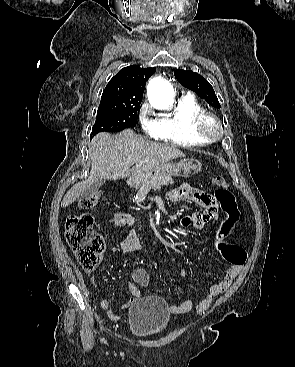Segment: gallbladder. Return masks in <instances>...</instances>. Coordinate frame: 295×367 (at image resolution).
Wrapping results in <instances>:
<instances>
[{"mask_svg": "<svg viewBox=\"0 0 295 367\" xmlns=\"http://www.w3.org/2000/svg\"><path fill=\"white\" fill-rule=\"evenodd\" d=\"M105 183L104 179L95 181L86 191V195H92L99 190V188Z\"/></svg>", "mask_w": 295, "mask_h": 367, "instance_id": "gallbladder-1", "label": "gallbladder"}]
</instances>
